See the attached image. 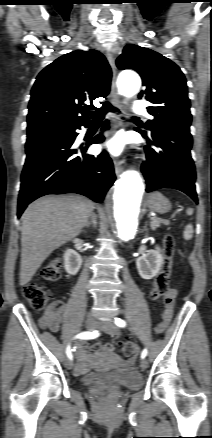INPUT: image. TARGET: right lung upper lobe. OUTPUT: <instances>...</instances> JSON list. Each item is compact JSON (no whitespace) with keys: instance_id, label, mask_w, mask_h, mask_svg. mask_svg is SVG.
<instances>
[{"instance_id":"right-lung-upper-lobe-1","label":"right lung upper lobe","mask_w":212,"mask_h":438,"mask_svg":"<svg viewBox=\"0 0 212 438\" xmlns=\"http://www.w3.org/2000/svg\"><path fill=\"white\" fill-rule=\"evenodd\" d=\"M111 76L107 60L98 51L76 50L59 57L36 78L27 130L53 124H86V109H94L93 100L109 93Z\"/></svg>"}]
</instances>
